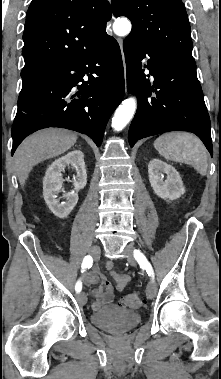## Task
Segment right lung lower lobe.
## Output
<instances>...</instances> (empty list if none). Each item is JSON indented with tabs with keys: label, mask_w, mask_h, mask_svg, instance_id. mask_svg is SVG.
Masks as SVG:
<instances>
[{
	"label": "right lung lower lobe",
	"mask_w": 221,
	"mask_h": 379,
	"mask_svg": "<svg viewBox=\"0 0 221 379\" xmlns=\"http://www.w3.org/2000/svg\"><path fill=\"white\" fill-rule=\"evenodd\" d=\"M22 81L11 132L12 155L25 137L47 127L86 134L99 147L107 121L124 95L120 47L107 35L92 49L35 69Z\"/></svg>",
	"instance_id": "98d812e1"
}]
</instances>
